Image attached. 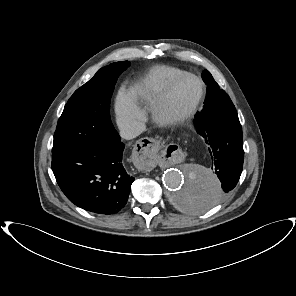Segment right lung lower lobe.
I'll return each mask as SVG.
<instances>
[{"mask_svg":"<svg viewBox=\"0 0 296 296\" xmlns=\"http://www.w3.org/2000/svg\"><path fill=\"white\" fill-rule=\"evenodd\" d=\"M116 132V130H115ZM124 144L83 146L52 155V170L66 197L96 214H115L127 203L134 177L122 165Z\"/></svg>","mask_w":296,"mask_h":296,"instance_id":"98d812e1","label":"right lung lower lobe"}]
</instances>
